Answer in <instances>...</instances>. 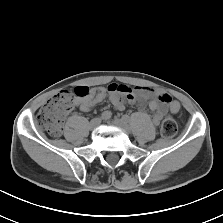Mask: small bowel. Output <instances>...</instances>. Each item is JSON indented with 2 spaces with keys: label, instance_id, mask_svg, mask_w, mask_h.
<instances>
[{
  "label": "small bowel",
  "instance_id": "small-bowel-1",
  "mask_svg": "<svg viewBox=\"0 0 223 223\" xmlns=\"http://www.w3.org/2000/svg\"><path fill=\"white\" fill-rule=\"evenodd\" d=\"M107 98L113 107L119 111L125 108L124 98L131 104H142L150 99L147 107L154 112L153 122L155 125L160 124L167 112L177 113L180 110L179 103L167 93L148 87L130 88L125 84L118 83H111L107 88H94L88 97L77 100L75 104L81 111L89 112L96 104Z\"/></svg>",
  "mask_w": 223,
  "mask_h": 223
}]
</instances>
